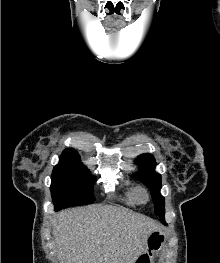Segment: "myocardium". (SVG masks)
<instances>
[{
  "label": "myocardium",
  "instance_id": "obj_1",
  "mask_svg": "<svg viewBox=\"0 0 220 263\" xmlns=\"http://www.w3.org/2000/svg\"><path fill=\"white\" fill-rule=\"evenodd\" d=\"M138 198H139V201H141V202L147 201V199H148V194H147V192H146L144 189H142V190L139 192V194H138Z\"/></svg>",
  "mask_w": 220,
  "mask_h": 263
}]
</instances>
